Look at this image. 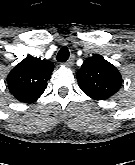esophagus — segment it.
Returning <instances> with one entry per match:
<instances>
[{
    "label": "esophagus",
    "instance_id": "esophagus-1",
    "mask_svg": "<svg viewBox=\"0 0 135 165\" xmlns=\"http://www.w3.org/2000/svg\"><path fill=\"white\" fill-rule=\"evenodd\" d=\"M74 60H75V56H74V55L70 56V58H69L68 61L65 63V65H66L67 67H71V66L74 64Z\"/></svg>",
    "mask_w": 135,
    "mask_h": 165
}]
</instances>
